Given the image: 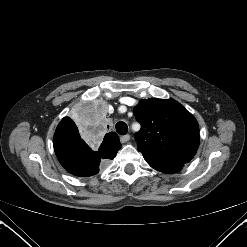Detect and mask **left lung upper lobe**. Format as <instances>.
Returning a JSON list of instances; mask_svg holds the SVG:
<instances>
[{
	"instance_id": "obj_1",
	"label": "left lung upper lobe",
	"mask_w": 247,
	"mask_h": 247,
	"mask_svg": "<svg viewBox=\"0 0 247 247\" xmlns=\"http://www.w3.org/2000/svg\"><path fill=\"white\" fill-rule=\"evenodd\" d=\"M141 129L136 133L138 151L146 161L188 163L199 146L195 117L173 99L151 98L134 107Z\"/></svg>"
}]
</instances>
